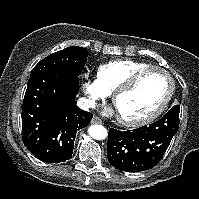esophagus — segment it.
<instances>
[{
	"label": "esophagus",
	"instance_id": "1",
	"mask_svg": "<svg viewBox=\"0 0 199 199\" xmlns=\"http://www.w3.org/2000/svg\"><path fill=\"white\" fill-rule=\"evenodd\" d=\"M91 123H92V124H101V123H102V120H101L99 117L94 116V117L92 118V120H91Z\"/></svg>",
	"mask_w": 199,
	"mask_h": 199
}]
</instances>
